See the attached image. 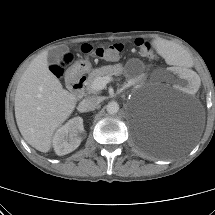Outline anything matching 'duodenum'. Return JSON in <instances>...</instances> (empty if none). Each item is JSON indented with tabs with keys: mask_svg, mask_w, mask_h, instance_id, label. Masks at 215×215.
Here are the masks:
<instances>
[{
	"mask_svg": "<svg viewBox=\"0 0 215 215\" xmlns=\"http://www.w3.org/2000/svg\"><path fill=\"white\" fill-rule=\"evenodd\" d=\"M66 80L69 88L76 96H81L83 94L85 82L83 72L77 68H72L68 71Z\"/></svg>",
	"mask_w": 215,
	"mask_h": 215,
	"instance_id": "obj_1",
	"label": "duodenum"
}]
</instances>
